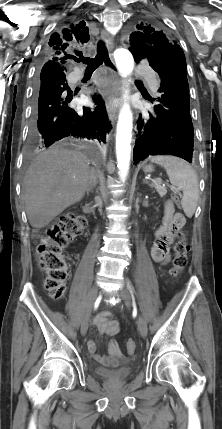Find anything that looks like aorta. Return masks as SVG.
I'll list each match as a JSON object with an SVG mask.
<instances>
[{
    "mask_svg": "<svg viewBox=\"0 0 222 429\" xmlns=\"http://www.w3.org/2000/svg\"><path fill=\"white\" fill-rule=\"evenodd\" d=\"M116 66L123 78L131 75L134 69L132 54L126 49H118L114 53ZM124 103L119 112L116 132V157L119 175L122 180L128 175L131 156V140L133 128V115L128 103L129 92L125 90Z\"/></svg>",
    "mask_w": 222,
    "mask_h": 429,
    "instance_id": "1",
    "label": "aorta"
}]
</instances>
